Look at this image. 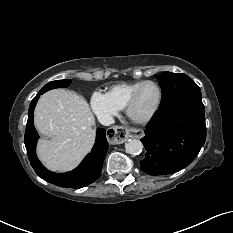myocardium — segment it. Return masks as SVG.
Returning a JSON list of instances; mask_svg holds the SVG:
<instances>
[{"label":"myocardium","mask_w":233,"mask_h":233,"mask_svg":"<svg viewBox=\"0 0 233 233\" xmlns=\"http://www.w3.org/2000/svg\"><path fill=\"white\" fill-rule=\"evenodd\" d=\"M146 85H154L157 88V90H158V99H157L156 105L154 106V108L150 112H148L145 115L139 116V115L135 114L134 108H135V105L137 103V100H138V97H139V94H140L141 90ZM162 100H163V92H162V89H161L160 85L155 81H151V80L144 81L131 94V96L128 99L127 104L125 106V112H126L127 116L133 122L138 123V124H144V123L149 122L156 115V113L158 112V110L161 107Z\"/></svg>","instance_id":"obj_1"}]
</instances>
